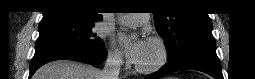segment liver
<instances>
[{"label":"liver","mask_w":255,"mask_h":79,"mask_svg":"<svg viewBox=\"0 0 255 79\" xmlns=\"http://www.w3.org/2000/svg\"><path fill=\"white\" fill-rule=\"evenodd\" d=\"M33 79H101V71L88 64L57 60L39 68Z\"/></svg>","instance_id":"obj_1"}]
</instances>
